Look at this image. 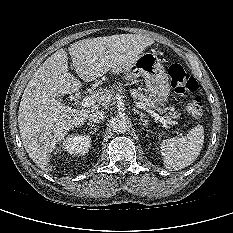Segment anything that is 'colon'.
Here are the masks:
<instances>
[{"label": "colon", "mask_w": 233, "mask_h": 233, "mask_svg": "<svg viewBox=\"0 0 233 233\" xmlns=\"http://www.w3.org/2000/svg\"><path fill=\"white\" fill-rule=\"evenodd\" d=\"M169 77L172 88L176 93L185 95L188 93H196L199 85L182 65L172 64L169 69ZM186 109L189 114L194 117H200L203 112V99L200 95H194L187 103Z\"/></svg>", "instance_id": "1"}]
</instances>
